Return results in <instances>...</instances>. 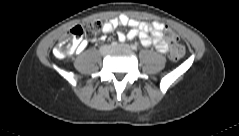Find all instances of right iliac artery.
Here are the masks:
<instances>
[{"label":"right iliac artery","mask_w":239,"mask_h":136,"mask_svg":"<svg viewBox=\"0 0 239 136\" xmlns=\"http://www.w3.org/2000/svg\"><path fill=\"white\" fill-rule=\"evenodd\" d=\"M111 46H117V42H115V41H113L112 43H111Z\"/></svg>","instance_id":"82829eb1"}]
</instances>
